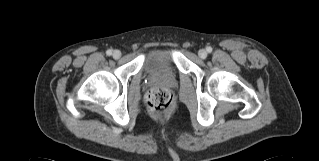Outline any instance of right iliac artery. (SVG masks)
Instances as JSON below:
<instances>
[{
    "instance_id": "1",
    "label": "right iliac artery",
    "mask_w": 319,
    "mask_h": 161,
    "mask_svg": "<svg viewBox=\"0 0 319 161\" xmlns=\"http://www.w3.org/2000/svg\"><path fill=\"white\" fill-rule=\"evenodd\" d=\"M106 54H107L108 56L112 55V50H107V51H106Z\"/></svg>"
}]
</instances>
